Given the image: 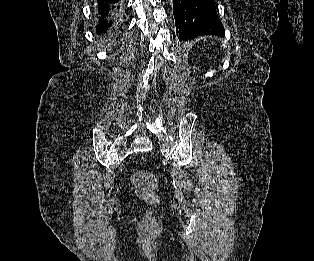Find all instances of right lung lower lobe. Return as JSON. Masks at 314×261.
<instances>
[{"mask_svg":"<svg viewBox=\"0 0 314 261\" xmlns=\"http://www.w3.org/2000/svg\"><path fill=\"white\" fill-rule=\"evenodd\" d=\"M120 0H97L96 12L98 15V25L96 26V33L108 34L116 29L119 18Z\"/></svg>","mask_w":314,"mask_h":261,"instance_id":"obj_1","label":"right lung lower lobe"}]
</instances>
